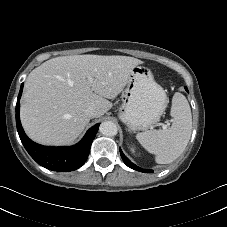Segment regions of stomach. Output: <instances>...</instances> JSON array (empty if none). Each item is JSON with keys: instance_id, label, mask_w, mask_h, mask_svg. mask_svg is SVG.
<instances>
[{"instance_id": "1", "label": "stomach", "mask_w": 227, "mask_h": 227, "mask_svg": "<svg viewBox=\"0 0 227 227\" xmlns=\"http://www.w3.org/2000/svg\"><path fill=\"white\" fill-rule=\"evenodd\" d=\"M121 98L119 118L133 132L156 124L168 103L166 92L155 82L150 68L141 65L132 69Z\"/></svg>"}]
</instances>
